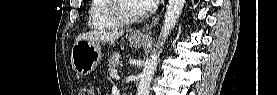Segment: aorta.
Masks as SVG:
<instances>
[{"mask_svg": "<svg viewBox=\"0 0 277 95\" xmlns=\"http://www.w3.org/2000/svg\"><path fill=\"white\" fill-rule=\"evenodd\" d=\"M184 3L185 0H168L160 37L156 44L154 53L151 54L150 58L146 61L140 74L137 95H149L151 80L154 71L156 70L162 47L177 23L184 7Z\"/></svg>", "mask_w": 277, "mask_h": 95, "instance_id": "obj_1", "label": "aorta"}]
</instances>
